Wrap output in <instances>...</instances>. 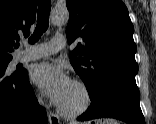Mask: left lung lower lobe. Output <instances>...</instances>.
Here are the masks:
<instances>
[{
	"label": "left lung lower lobe",
	"mask_w": 156,
	"mask_h": 124,
	"mask_svg": "<svg viewBox=\"0 0 156 124\" xmlns=\"http://www.w3.org/2000/svg\"><path fill=\"white\" fill-rule=\"evenodd\" d=\"M115 118L129 124H145L139 105V96L121 90H112L91 99L87 111L77 120Z\"/></svg>",
	"instance_id": "left-lung-lower-lobe-1"
}]
</instances>
